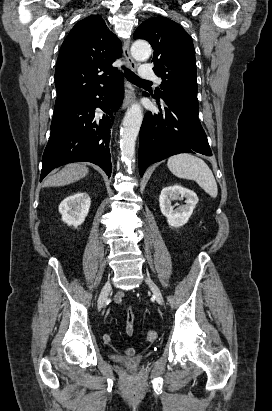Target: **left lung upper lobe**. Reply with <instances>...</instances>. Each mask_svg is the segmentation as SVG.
Listing matches in <instances>:
<instances>
[{
	"mask_svg": "<svg viewBox=\"0 0 272 411\" xmlns=\"http://www.w3.org/2000/svg\"><path fill=\"white\" fill-rule=\"evenodd\" d=\"M133 38L147 40L154 49L153 70L162 79L155 97L199 110L195 51L189 34L176 22L158 16L142 23Z\"/></svg>",
	"mask_w": 272,
	"mask_h": 411,
	"instance_id": "5c2ea615",
	"label": "left lung upper lobe"
}]
</instances>
